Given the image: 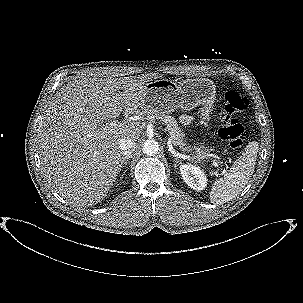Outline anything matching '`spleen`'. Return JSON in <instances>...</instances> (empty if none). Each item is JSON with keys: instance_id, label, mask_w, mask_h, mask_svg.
<instances>
[{"instance_id": "obj_1", "label": "spleen", "mask_w": 303, "mask_h": 303, "mask_svg": "<svg viewBox=\"0 0 303 303\" xmlns=\"http://www.w3.org/2000/svg\"><path fill=\"white\" fill-rule=\"evenodd\" d=\"M258 148L257 142H250L224 178L214 182L210 192L211 203L224 204L243 190L254 173Z\"/></svg>"}]
</instances>
